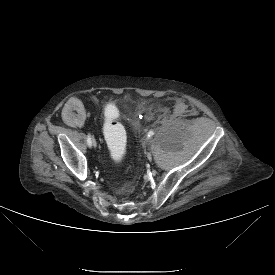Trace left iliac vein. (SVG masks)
Here are the masks:
<instances>
[{"label":"left iliac vein","instance_id":"4c4485c4","mask_svg":"<svg viewBox=\"0 0 275 275\" xmlns=\"http://www.w3.org/2000/svg\"><path fill=\"white\" fill-rule=\"evenodd\" d=\"M151 156V154H148V157H150Z\"/></svg>","mask_w":275,"mask_h":275}]
</instances>
